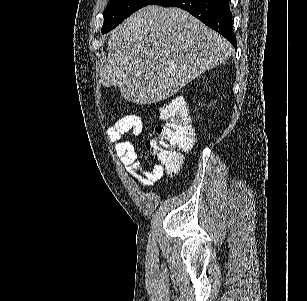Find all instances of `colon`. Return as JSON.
Here are the masks:
<instances>
[{
  "instance_id": "5ec220e1",
  "label": "colon",
  "mask_w": 307,
  "mask_h": 301,
  "mask_svg": "<svg viewBox=\"0 0 307 301\" xmlns=\"http://www.w3.org/2000/svg\"><path fill=\"white\" fill-rule=\"evenodd\" d=\"M158 116L163 121L154 135L146 141V148L168 174L177 173L182 164L180 151H187L194 144V129L190 123L183 99L173 97L161 104Z\"/></svg>"
}]
</instances>
